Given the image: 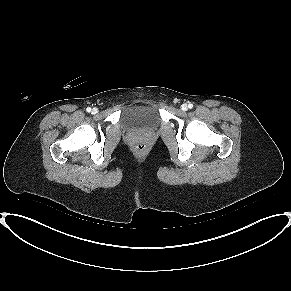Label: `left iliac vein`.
I'll return each mask as SVG.
<instances>
[{
  "label": "left iliac vein",
  "mask_w": 291,
  "mask_h": 291,
  "mask_svg": "<svg viewBox=\"0 0 291 291\" xmlns=\"http://www.w3.org/2000/svg\"><path fill=\"white\" fill-rule=\"evenodd\" d=\"M187 107H188V106H187L186 104H183V105H182V110L186 111V110H187Z\"/></svg>",
  "instance_id": "obj_1"
}]
</instances>
